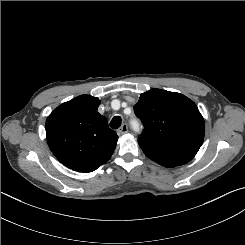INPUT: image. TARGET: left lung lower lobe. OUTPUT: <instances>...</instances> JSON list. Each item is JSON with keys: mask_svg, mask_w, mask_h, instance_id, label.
Returning <instances> with one entry per match:
<instances>
[{"mask_svg": "<svg viewBox=\"0 0 245 245\" xmlns=\"http://www.w3.org/2000/svg\"><path fill=\"white\" fill-rule=\"evenodd\" d=\"M138 143L148 158L167 168L186 164L192 159L185 155L165 151L143 141H138Z\"/></svg>", "mask_w": 245, "mask_h": 245, "instance_id": "0a47b994", "label": "left lung lower lobe"}]
</instances>
